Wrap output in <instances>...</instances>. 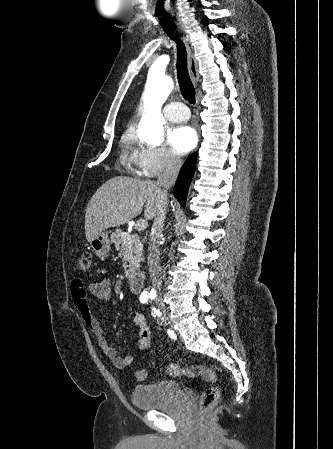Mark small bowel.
Instances as JSON below:
<instances>
[{"mask_svg":"<svg viewBox=\"0 0 333 449\" xmlns=\"http://www.w3.org/2000/svg\"><path fill=\"white\" fill-rule=\"evenodd\" d=\"M88 293L101 302H107L111 297L110 281L104 278L99 281L85 283L78 278L71 285V298L84 325L96 336L100 349L110 358L112 364L118 369L129 366L133 362V357L131 355H118L116 349L105 338L104 331L89 306ZM134 323L137 326V330L134 333L137 347L142 351L148 350L151 345V333L144 316L135 314Z\"/></svg>","mask_w":333,"mask_h":449,"instance_id":"small-bowel-1","label":"small bowel"}]
</instances>
